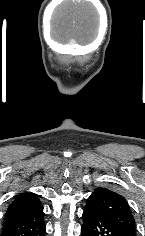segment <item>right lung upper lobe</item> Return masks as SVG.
Here are the masks:
<instances>
[{
	"label": "right lung upper lobe",
	"mask_w": 145,
	"mask_h": 236,
	"mask_svg": "<svg viewBox=\"0 0 145 236\" xmlns=\"http://www.w3.org/2000/svg\"><path fill=\"white\" fill-rule=\"evenodd\" d=\"M42 207L36 194L22 193L9 205L5 219Z\"/></svg>",
	"instance_id": "right-lung-upper-lobe-1"
}]
</instances>
